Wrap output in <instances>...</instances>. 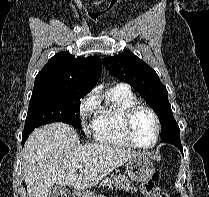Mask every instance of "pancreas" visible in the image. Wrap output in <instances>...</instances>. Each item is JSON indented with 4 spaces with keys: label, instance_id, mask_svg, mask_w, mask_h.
<instances>
[{
    "label": "pancreas",
    "instance_id": "1",
    "mask_svg": "<svg viewBox=\"0 0 209 197\" xmlns=\"http://www.w3.org/2000/svg\"><path fill=\"white\" fill-rule=\"evenodd\" d=\"M112 184H114L116 188L124 189L126 191H136V188L134 187L132 182L126 176L122 175L111 174L109 177H105L100 185L113 187Z\"/></svg>",
    "mask_w": 209,
    "mask_h": 197
}]
</instances>
